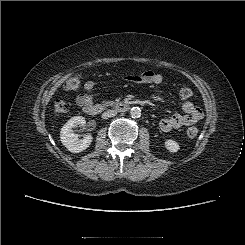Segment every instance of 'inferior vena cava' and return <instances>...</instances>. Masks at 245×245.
Returning <instances> with one entry per match:
<instances>
[{
    "mask_svg": "<svg viewBox=\"0 0 245 245\" xmlns=\"http://www.w3.org/2000/svg\"><path fill=\"white\" fill-rule=\"evenodd\" d=\"M116 115H117V111H115V110H107V111H105L102 114V118L103 119H107V118H110V117H114Z\"/></svg>",
    "mask_w": 245,
    "mask_h": 245,
    "instance_id": "inferior-vena-cava-1",
    "label": "inferior vena cava"
}]
</instances>
